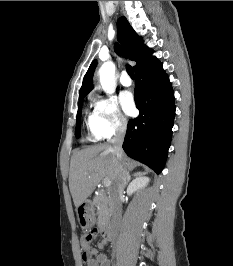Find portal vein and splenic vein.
Returning <instances> with one entry per match:
<instances>
[{
  "label": "portal vein and splenic vein",
  "instance_id": "obj_1",
  "mask_svg": "<svg viewBox=\"0 0 233 266\" xmlns=\"http://www.w3.org/2000/svg\"><path fill=\"white\" fill-rule=\"evenodd\" d=\"M111 180L110 179H104V181H103V184H104V186H106V187H109L110 185H111Z\"/></svg>",
  "mask_w": 233,
  "mask_h": 266
}]
</instances>
